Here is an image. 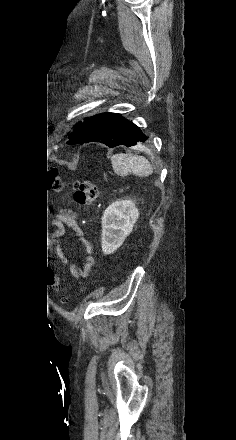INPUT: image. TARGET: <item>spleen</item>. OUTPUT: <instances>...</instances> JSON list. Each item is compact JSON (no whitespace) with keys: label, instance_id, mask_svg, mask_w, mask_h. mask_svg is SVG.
Here are the masks:
<instances>
[{"label":"spleen","instance_id":"3e777b00","mask_svg":"<svg viewBox=\"0 0 236 440\" xmlns=\"http://www.w3.org/2000/svg\"><path fill=\"white\" fill-rule=\"evenodd\" d=\"M111 164L116 174L126 176L133 173L140 177H147L153 173V168L143 156L133 154H115L111 157Z\"/></svg>","mask_w":236,"mask_h":440}]
</instances>
